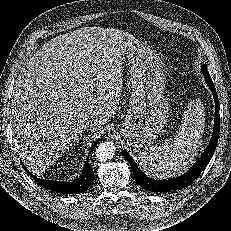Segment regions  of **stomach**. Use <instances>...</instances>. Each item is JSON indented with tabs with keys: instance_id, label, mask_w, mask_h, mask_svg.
I'll use <instances>...</instances> for the list:
<instances>
[{
	"instance_id": "1",
	"label": "stomach",
	"mask_w": 231,
	"mask_h": 231,
	"mask_svg": "<svg viewBox=\"0 0 231 231\" xmlns=\"http://www.w3.org/2000/svg\"><path fill=\"white\" fill-rule=\"evenodd\" d=\"M130 74V107L119 131L133 151L147 149L158 138L169 117L165 74L158 53L137 45L127 53Z\"/></svg>"
}]
</instances>
